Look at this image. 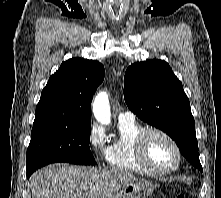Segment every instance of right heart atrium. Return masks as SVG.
Instances as JSON below:
<instances>
[{"mask_svg":"<svg viewBox=\"0 0 221 198\" xmlns=\"http://www.w3.org/2000/svg\"><path fill=\"white\" fill-rule=\"evenodd\" d=\"M88 144L99 161L107 160L108 147L106 144L105 133L102 128L92 125L88 132Z\"/></svg>","mask_w":221,"mask_h":198,"instance_id":"obj_1","label":"right heart atrium"}]
</instances>
